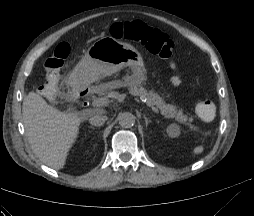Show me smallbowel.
<instances>
[{
  "mask_svg": "<svg viewBox=\"0 0 254 216\" xmlns=\"http://www.w3.org/2000/svg\"><path fill=\"white\" fill-rule=\"evenodd\" d=\"M169 52H170L171 54H174V53L176 52V49H175L174 47H171V48L169 49ZM170 81H171V83H172L174 86H179V85L181 84V80H180V78H179L177 75L171 76Z\"/></svg>",
  "mask_w": 254,
  "mask_h": 216,
  "instance_id": "1",
  "label": "small bowel"
}]
</instances>
